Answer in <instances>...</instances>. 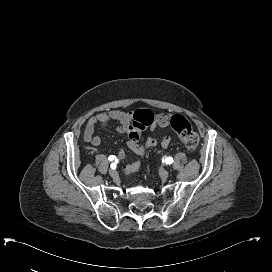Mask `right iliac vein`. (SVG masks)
Segmentation results:
<instances>
[{"label": "right iliac vein", "instance_id": "63e3f726", "mask_svg": "<svg viewBox=\"0 0 272 272\" xmlns=\"http://www.w3.org/2000/svg\"><path fill=\"white\" fill-rule=\"evenodd\" d=\"M109 175H110L112 178H115V177L118 176V173H117L116 170L110 169V170H109Z\"/></svg>", "mask_w": 272, "mask_h": 272}]
</instances>
